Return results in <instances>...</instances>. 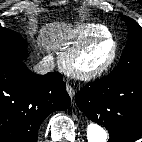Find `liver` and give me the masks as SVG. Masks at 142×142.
<instances>
[{"label": "liver", "mask_w": 142, "mask_h": 142, "mask_svg": "<svg viewBox=\"0 0 142 142\" xmlns=\"http://www.w3.org/2000/svg\"><path fill=\"white\" fill-rule=\"evenodd\" d=\"M67 28L65 23H53L42 28L39 43L47 52L58 49L64 43Z\"/></svg>", "instance_id": "obj_1"}]
</instances>
